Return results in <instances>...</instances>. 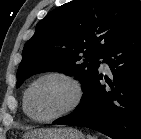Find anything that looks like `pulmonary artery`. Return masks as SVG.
I'll return each instance as SVG.
<instances>
[{"label": "pulmonary artery", "mask_w": 141, "mask_h": 139, "mask_svg": "<svg viewBox=\"0 0 141 139\" xmlns=\"http://www.w3.org/2000/svg\"><path fill=\"white\" fill-rule=\"evenodd\" d=\"M101 65H102V67H104L105 69H108V65H107V63L104 61V59H101Z\"/></svg>", "instance_id": "obj_1"}]
</instances>
